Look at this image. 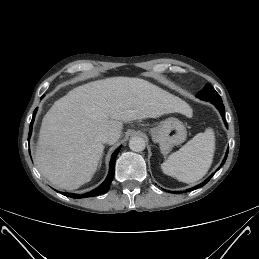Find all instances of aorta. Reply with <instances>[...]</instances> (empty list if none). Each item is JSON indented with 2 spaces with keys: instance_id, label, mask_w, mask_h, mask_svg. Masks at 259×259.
<instances>
[{
  "instance_id": "aorta-1",
  "label": "aorta",
  "mask_w": 259,
  "mask_h": 259,
  "mask_svg": "<svg viewBox=\"0 0 259 259\" xmlns=\"http://www.w3.org/2000/svg\"><path fill=\"white\" fill-rule=\"evenodd\" d=\"M145 147V140L140 136H134L129 140V148L134 152H141Z\"/></svg>"
}]
</instances>
